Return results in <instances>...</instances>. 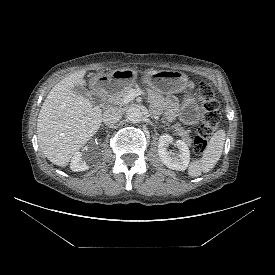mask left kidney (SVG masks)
I'll return each mask as SVG.
<instances>
[{
	"label": "left kidney",
	"instance_id": "1",
	"mask_svg": "<svg viewBox=\"0 0 275 275\" xmlns=\"http://www.w3.org/2000/svg\"><path fill=\"white\" fill-rule=\"evenodd\" d=\"M173 141L172 136L168 134L161 135L158 140V155L161 162L168 168L184 171L190 162V151L188 145L182 140H177L175 145L179 149V153H172L168 151V146Z\"/></svg>",
	"mask_w": 275,
	"mask_h": 275
}]
</instances>
